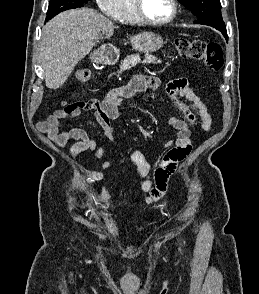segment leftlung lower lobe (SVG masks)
Returning a JSON list of instances; mask_svg holds the SVG:
<instances>
[{
	"instance_id": "0a47b994",
	"label": "left lung lower lobe",
	"mask_w": 259,
	"mask_h": 294,
	"mask_svg": "<svg viewBox=\"0 0 259 294\" xmlns=\"http://www.w3.org/2000/svg\"><path fill=\"white\" fill-rule=\"evenodd\" d=\"M217 30H219L223 34V36L226 38V40H228V35L225 28H219Z\"/></svg>"
}]
</instances>
